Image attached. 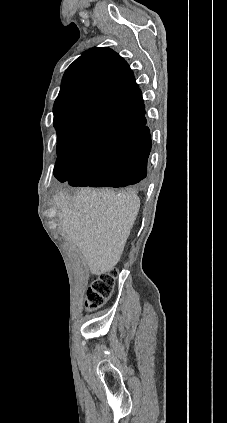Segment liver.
Wrapping results in <instances>:
<instances>
[{"label": "liver", "instance_id": "liver-1", "mask_svg": "<svg viewBox=\"0 0 227 423\" xmlns=\"http://www.w3.org/2000/svg\"><path fill=\"white\" fill-rule=\"evenodd\" d=\"M60 231L85 257L91 273L101 275L118 263L140 208L133 192L81 188L72 198L55 200Z\"/></svg>", "mask_w": 227, "mask_h": 423}]
</instances>
